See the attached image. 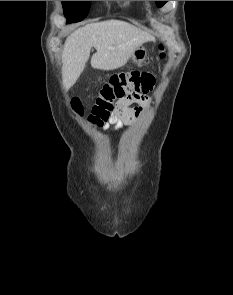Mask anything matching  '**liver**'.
Segmentation results:
<instances>
[{"label": "liver", "mask_w": 233, "mask_h": 295, "mask_svg": "<svg viewBox=\"0 0 233 295\" xmlns=\"http://www.w3.org/2000/svg\"><path fill=\"white\" fill-rule=\"evenodd\" d=\"M154 37L121 20L90 23L67 37L62 52V84L68 91L84 71L92 47L94 69L114 70L126 64L131 52Z\"/></svg>", "instance_id": "obj_1"}]
</instances>
